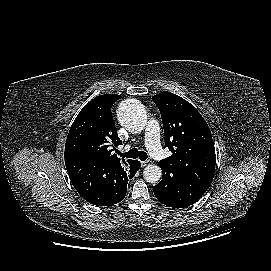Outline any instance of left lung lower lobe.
<instances>
[{
	"label": "left lung lower lobe",
	"mask_w": 271,
	"mask_h": 271,
	"mask_svg": "<svg viewBox=\"0 0 271 271\" xmlns=\"http://www.w3.org/2000/svg\"><path fill=\"white\" fill-rule=\"evenodd\" d=\"M162 171V180L153 190L157 199L169 207L185 208L193 205L208 189L180 172Z\"/></svg>",
	"instance_id": "1"
}]
</instances>
